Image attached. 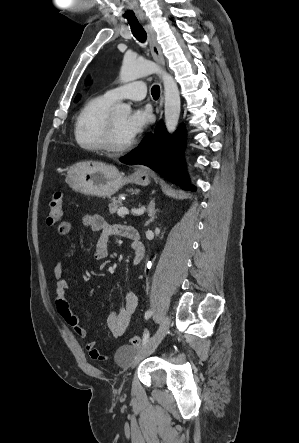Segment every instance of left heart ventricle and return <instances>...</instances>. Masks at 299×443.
<instances>
[{
	"mask_svg": "<svg viewBox=\"0 0 299 443\" xmlns=\"http://www.w3.org/2000/svg\"><path fill=\"white\" fill-rule=\"evenodd\" d=\"M114 128H115V142L117 145H124L131 141V139L125 134L123 130V124L126 119L125 115L115 114L112 115Z\"/></svg>",
	"mask_w": 299,
	"mask_h": 443,
	"instance_id": "1",
	"label": "left heart ventricle"
}]
</instances>
